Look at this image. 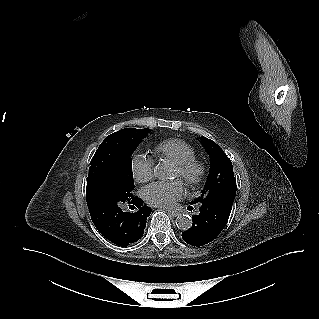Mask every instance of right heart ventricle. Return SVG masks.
<instances>
[{"mask_svg": "<svg viewBox=\"0 0 319 319\" xmlns=\"http://www.w3.org/2000/svg\"><path fill=\"white\" fill-rule=\"evenodd\" d=\"M155 152L159 157L168 159L175 165L195 158L194 148L186 141L178 138L159 143L155 147Z\"/></svg>", "mask_w": 319, "mask_h": 319, "instance_id": "right-heart-ventricle-1", "label": "right heart ventricle"}]
</instances>
